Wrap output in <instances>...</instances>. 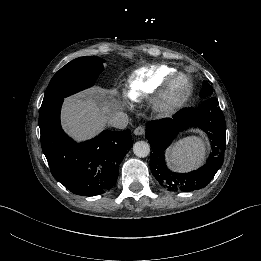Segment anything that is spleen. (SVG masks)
I'll use <instances>...</instances> for the list:
<instances>
[{"instance_id": "3e777b00", "label": "spleen", "mask_w": 261, "mask_h": 261, "mask_svg": "<svg viewBox=\"0 0 261 261\" xmlns=\"http://www.w3.org/2000/svg\"><path fill=\"white\" fill-rule=\"evenodd\" d=\"M206 143L197 136L180 139L166 150L168 166L176 172H189L203 164Z\"/></svg>"}]
</instances>
